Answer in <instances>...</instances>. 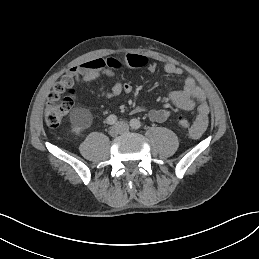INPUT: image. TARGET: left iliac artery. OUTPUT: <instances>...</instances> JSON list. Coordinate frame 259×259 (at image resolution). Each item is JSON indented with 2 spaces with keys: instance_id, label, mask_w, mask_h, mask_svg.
Masks as SVG:
<instances>
[{
  "instance_id": "1",
  "label": "left iliac artery",
  "mask_w": 259,
  "mask_h": 259,
  "mask_svg": "<svg viewBox=\"0 0 259 259\" xmlns=\"http://www.w3.org/2000/svg\"><path fill=\"white\" fill-rule=\"evenodd\" d=\"M130 126L133 129H139L141 127V122L138 119H131Z\"/></svg>"
}]
</instances>
